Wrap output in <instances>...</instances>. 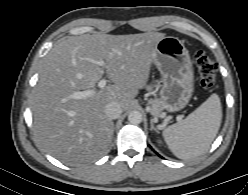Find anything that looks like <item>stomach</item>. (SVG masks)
Segmentation results:
<instances>
[{"label": "stomach", "instance_id": "obj_1", "mask_svg": "<svg viewBox=\"0 0 248 195\" xmlns=\"http://www.w3.org/2000/svg\"><path fill=\"white\" fill-rule=\"evenodd\" d=\"M162 77V110L175 112L190 101L194 90L192 62L184 44L176 37H164L155 50L154 62Z\"/></svg>", "mask_w": 248, "mask_h": 195}]
</instances>
